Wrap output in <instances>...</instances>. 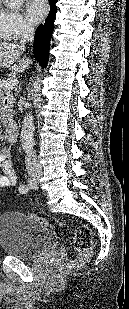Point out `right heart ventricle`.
<instances>
[{"mask_svg":"<svg viewBox=\"0 0 129 309\" xmlns=\"http://www.w3.org/2000/svg\"><path fill=\"white\" fill-rule=\"evenodd\" d=\"M1 39H5V38H4V37L1 35V33H0V40H1Z\"/></svg>","mask_w":129,"mask_h":309,"instance_id":"right-heart-ventricle-1","label":"right heart ventricle"}]
</instances>
